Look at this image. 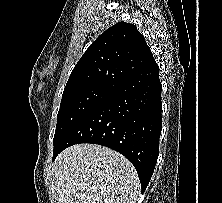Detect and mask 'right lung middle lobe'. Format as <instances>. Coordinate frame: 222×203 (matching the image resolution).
<instances>
[{
    "label": "right lung middle lobe",
    "instance_id": "dd1d6c3e",
    "mask_svg": "<svg viewBox=\"0 0 222 203\" xmlns=\"http://www.w3.org/2000/svg\"><path fill=\"white\" fill-rule=\"evenodd\" d=\"M113 90L101 87L64 89L53 144L80 118L103 102Z\"/></svg>",
    "mask_w": 222,
    "mask_h": 203
}]
</instances>
